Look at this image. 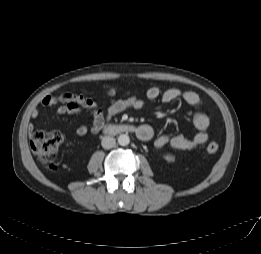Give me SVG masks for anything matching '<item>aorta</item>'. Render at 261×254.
I'll return each mask as SVG.
<instances>
[{"label":"aorta","mask_w":261,"mask_h":254,"mask_svg":"<svg viewBox=\"0 0 261 254\" xmlns=\"http://www.w3.org/2000/svg\"><path fill=\"white\" fill-rule=\"evenodd\" d=\"M130 143V138L127 134H121L118 137V144L121 146H127Z\"/></svg>","instance_id":"1"}]
</instances>
